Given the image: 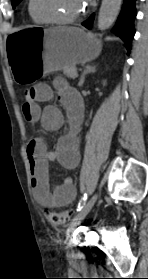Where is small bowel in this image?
Listing matches in <instances>:
<instances>
[{"mask_svg":"<svg viewBox=\"0 0 148 279\" xmlns=\"http://www.w3.org/2000/svg\"><path fill=\"white\" fill-rule=\"evenodd\" d=\"M33 89L34 100L31 103H24L22 107L27 121L40 122L41 126L50 132L61 129L65 120L64 114L58 107L50 104L56 93L72 127V132L60 137L53 151L47 149L41 138H34L28 143L26 153L33 196L40 205L46 208L65 206L73 202L76 197L73 179L67 177L54 190H51L48 164L57 161L67 169H73L78 165L80 153L75 132L83 118V103L79 94L61 80L57 81L55 89L43 83L36 84ZM41 104L46 105L42 107Z\"/></svg>","mask_w":148,"mask_h":279,"instance_id":"c3829d8e","label":"small bowel"}]
</instances>
